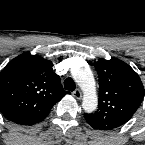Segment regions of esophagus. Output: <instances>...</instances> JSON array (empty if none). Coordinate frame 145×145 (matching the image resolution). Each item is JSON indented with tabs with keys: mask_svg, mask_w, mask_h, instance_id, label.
I'll return each mask as SVG.
<instances>
[{
	"mask_svg": "<svg viewBox=\"0 0 145 145\" xmlns=\"http://www.w3.org/2000/svg\"><path fill=\"white\" fill-rule=\"evenodd\" d=\"M73 96L76 98V99H81L82 98V92L77 89L73 92Z\"/></svg>",
	"mask_w": 145,
	"mask_h": 145,
	"instance_id": "1",
	"label": "esophagus"
}]
</instances>
